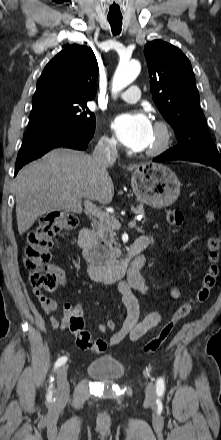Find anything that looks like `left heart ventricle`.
<instances>
[{
  "instance_id": "obj_1",
  "label": "left heart ventricle",
  "mask_w": 221,
  "mask_h": 440,
  "mask_svg": "<svg viewBox=\"0 0 221 440\" xmlns=\"http://www.w3.org/2000/svg\"><path fill=\"white\" fill-rule=\"evenodd\" d=\"M159 139V133L155 130V128L153 127V131H152V136H151V140L150 143L148 145L147 148L152 147L153 145H155L157 143Z\"/></svg>"
}]
</instances>
